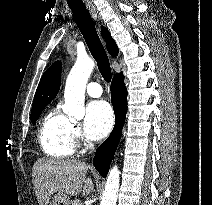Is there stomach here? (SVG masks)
<instances>
[{
	"instance_id": "1",
	"label": "stomach",
	"mask_w": 212,
	"mask_h": 205,
	"mask_svg": "<svg viewBox=\"0 0 212 205\" xmlns=\"http://www.w3.org/2000/svg\"><path fill=\"white\" fill-rule=\"evenodd\" d=\"M50 205H70V201L66 195L58 193L52 198Z\"/></svg>"
}]
</instances>
